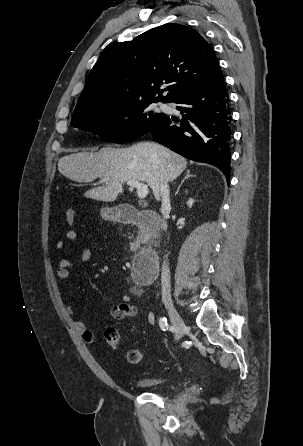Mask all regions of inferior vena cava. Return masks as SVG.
Returning a JSON list of instances; mask_svg holds the SVG:
<instances>
[{"label": "inferior vena cava", "instance_id": "1", "mask_svg": "<svg viewBox=\"0 0 303 446\" xmlns=\"http://www.w3.org/2000/svg\"><path fill=\"white\" fill-rule=\"evenodd\" d=\"M160 195L162 197L161 212L164 218L162 228L167 229L166 218L171 209L170 205V191L167 183L161 184ZM167 258V256H165ZM161 287H162V300L165 302L171 301V281H170V269L168 261L164 260L161 272Z\"/></svg>", "mask_w": 303, "mask_h": 446}]
</instances>
